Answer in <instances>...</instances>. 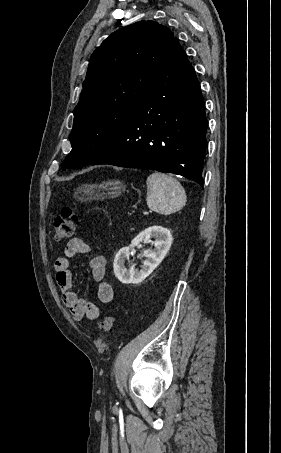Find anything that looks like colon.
I'll return each instance as SVG.
<instances>
[{"instance_id": "1", "label": "colon", "mask_w": 281, "mask_h": 453, "mask_svg": "<svg viewBox=\"0 0 281 453\" xmlns=\"http://www.w3.org/2000/svg\"><path fill=\"white\" fill-rule=\"evenodd\" d=\"M74 207L70 203L64 204L62 214L54 220V235L58 241L70 239L79 223V217L74 213ZM113 328L114 315L110 312L104 313L99 323L100 332L108 335L112 333Z\"/></svg>"}]
</instances>
